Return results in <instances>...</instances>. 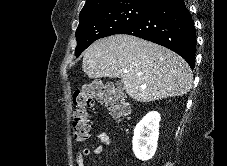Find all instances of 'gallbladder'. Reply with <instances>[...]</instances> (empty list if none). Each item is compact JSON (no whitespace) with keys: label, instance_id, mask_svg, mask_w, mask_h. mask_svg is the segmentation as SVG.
Masks as SVG:
<instances>
[{"label":"gallbladder","instance_id":"gallbladder-1","mask_svg":"<svg viewBox=\"0 0 227 166\" xmlns=\"http://www.w3.org/2000/svg\"><path fill=\"white\" fill-rule=\"evenodd\" d=\"M117 85H118V87L123 88V84L121 81H119Z\"/></svg>","mask_w":227,"mask_h":166}]
</instances>
